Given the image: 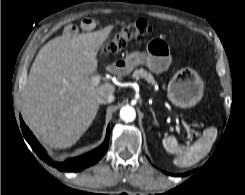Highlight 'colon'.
Listing matches in <instances>:
<instances>
[{
	"instance_id": "1",
	"label": "colon",
	"mask_w": 245,
	"mask_h": 195,
	"mask_svg": "<svg viewBox=\"0 0 245 195\" xmlns=\"http://www.w3.org/2000/svg\"><path fill=\"white\" fill-rule=\"evenodd\" d=\"M150 31V25L144 19H136L116 29L113 37L104 48L105 54H115L131 41H140Z\"/></svg>"
}]
</instances>
